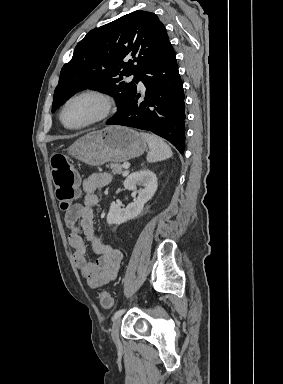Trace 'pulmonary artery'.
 Here are the masks:
<instances>
[{"instance_id": "obj_1", "label": "pulmonary artery", "mask_w": 283, "mask_h": 384, "mask_svg": "<svg viewBox=\"0 0 283 384\" xmlns=\"http://www.w3.org/2000/svg\"><path fill=\"white\" fill-rule=\"evenodd\" d=\"M133 76H134V75H132L131 78H132ZM138 86H139L140 88H144L143 83H138Z\"/></svg>"}]
</instances>
